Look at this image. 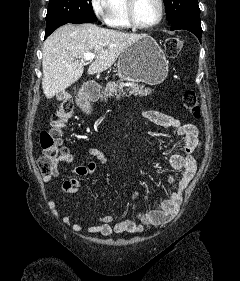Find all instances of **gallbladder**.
Instances as JSON below:
<instances>
[{"label":"gallbladder","instance_id":"bac80fb5","mask_svg":"<svg viewBox=\"0 0 240 281\" xmlns=\"http://www.w3.org/2000/svg\"><path fill=\"white\" fill-rule=\"evenodd\" d=\"M56 96H57V98L58 99H63L64 98V92L63 91H60V92H58L57 94H56Z\"/></svg>","mask_w":240,"mask_h":281}]
</instances>
